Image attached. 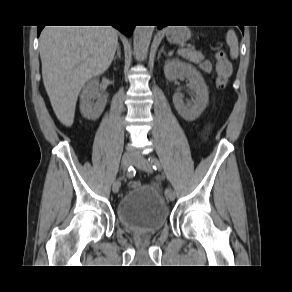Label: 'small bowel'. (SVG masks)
Here are the masks:
<instances>
[{
	"label": "small bowel",
	"mask_w": 292,
	"mask_h": 292,
	"mask_svg": "<svg viewBox=\"0 0 292 292\" xmlns=\"http://www.w3.org/2000/svg\"><path fill=\"white\" fill-rule=\"evenodd\" d=\"M201 69L204 72L209 73L212 69L211 63L209 61H204L201 65H200Z\"/></svg>",
	"instance_id": "c3829d8e"
}]
</instances>
